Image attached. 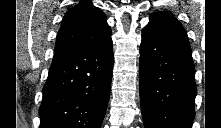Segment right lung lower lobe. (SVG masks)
Returning <instances> with one entry per match:
<instances>
[{"instance_id":"right-lung-lower-lobe-1","label":"right lung lower lobe","mask_w":221,"mask_h":128,"mask_svg":"<svg viewBox=\"0 0 221 128\" xmlns=\"http://www.w3.org/2000/svg\"><path fill=\"white\" fill-rule=\"evenodd\" d=\"M112 39L55 51L39 109L40 128H100L113 69Z\"/></svg>"}]
</instances>
